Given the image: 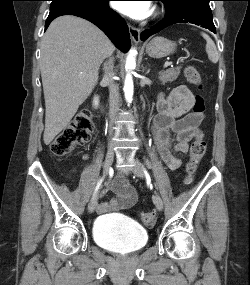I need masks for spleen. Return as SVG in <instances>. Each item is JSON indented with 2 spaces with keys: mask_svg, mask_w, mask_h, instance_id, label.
I'll list each match as a JSON object with an SVG mask.
<instances>
[{
  "mask_svg": "<svg viewBox=\"0 0 250 285\" xmlns=\"http://www.w3.org/2000/svg\"><path fill=\"white\" fill-rule=\"evenodd\" d=\"M202 37L206 40V53L212 63H217L219 60V53L213 40L206 34L202 33Z\"/></svg>",
  "mask_w": 250,
  "mask_h": 285,
  "instance_id": "spleen-1",
  "label": "spleen"
}]
</instances>
